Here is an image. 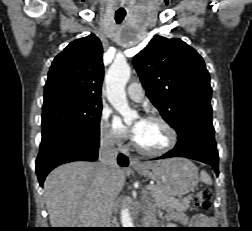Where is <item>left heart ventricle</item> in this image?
<instances>
[{
	"label": "left heart ventricle",
	"instance_id": "1",
	"mask_svg": "<svg viewBox=\"0 0 252 231\" xmlns=\"http://www.w3.org/2000/svg\"><path fill=\"white\" fill-rule=\"evenodd\" d=\"M135 140L145 149L158 150L168 144L169 133L161 123L145 120Z\"/></svg>",
	"mask_w": 252,
	"mask_h": 231
}]
</instances>
